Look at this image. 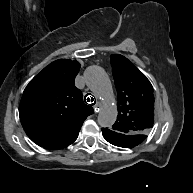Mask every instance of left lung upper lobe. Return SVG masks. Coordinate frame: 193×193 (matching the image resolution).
I'll list each match as a JSON object with an SVG mask.
<instances>
[{
	"instance_id": "5c2ea615",
	"label": "left lung upper lobe",
	"mask_w": 193,
	"mask_h": 193,
	"mask_svg": "<svg viewBox=\"0 0 193 193\" xmlns=\"http://www.w3.org/2000/svg\"><path fill=\"white\" fill-rule=\"evenodd\" d=\"M110 62L118 96V116L110 130L133 139L146 138L154 122L153 87L126 57L111 55Z\"/></svg>"
}]
</instances>
